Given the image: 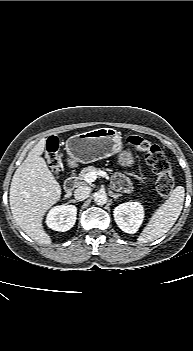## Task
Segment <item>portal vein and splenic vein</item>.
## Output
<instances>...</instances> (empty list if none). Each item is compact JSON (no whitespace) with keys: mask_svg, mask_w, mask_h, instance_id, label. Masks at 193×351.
Returning a JSON list of instances; mask_svg holds the SVG:
<instances>
[{"mask_svg":"<svg viewBox=\"0 0 193 351\" xmlns=\"http://www.w3.org/2000/svg\"><path fill=\"white\" fill-rule=\"evenodd\" d=\"M98 176H102L104 178L108 177L106 172L99 170L98 172H89L85 174L84 181H86L87 183H92L97 179Z\"/></svg>","mask_w":193,"mask_h":351,"instance_id":"1","label":"portal vein and splenic vein"}]
</instances>
